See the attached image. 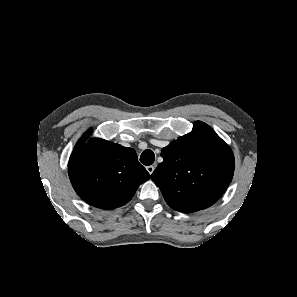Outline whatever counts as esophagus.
Wrapping results in <instances>:
<instances>
[{"label":"esophagus","instance_id":"obj_1","mask_svg":"<svg viewBox=\"0 0 297 297\" xmlns=\"http://www.w3.org/2000/svg\"><path fill=\"white\" fill-rule=\"evenodd\" d=\"M148 173L151 175L154 172L155 166L150 165L146 167Z\"/></svg>","mask_w":297,"mask_h":297}]
</instances>
